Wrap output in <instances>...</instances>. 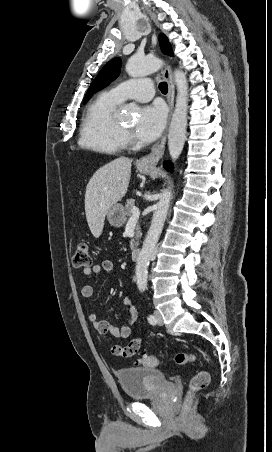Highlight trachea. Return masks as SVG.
Listing matches in <instances>:
<instances>
[{
    "mask_svg": "<svg viewBox=\"0 0 272 452\" xmlns=\"http://www.w3.org/2000/svg\"><path fill=\"white\" fill-rule=\"evenodd\" d=\"M159 89L163 94H166L168 92V86L166 82H161L159 84Z\"/></svg>",
    "mask_w": 272,
    "mask_h": 452,
    "instance_id": "1",
    "label": "trachea"
}]
</instances>
